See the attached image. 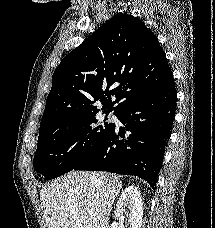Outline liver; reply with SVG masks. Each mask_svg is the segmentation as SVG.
<instances>
[{
    "instance_id": "liver-1",
    "label": "liver",
    "mask_w": 215,
    "mask_h": 228,
    "mask_svg": "<svg viewBox=\"0 0 215 228\" xmlns=\"http://www.w3.org/2000/svg\"><path fill=\"white\" fill-rule=\"evenodd\" d=\"M120 190V178L108 172H68L47 182L40 190L46 228H108Z\"/></svg>"
}]
</instances>
